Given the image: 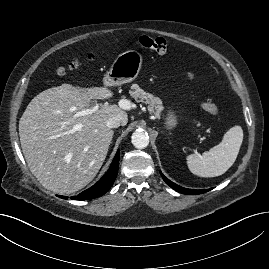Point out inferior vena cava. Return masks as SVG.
Returning a JSON list of instances; mask_svg holds the SVG:
<instances>
[{
    "label": "inferior vena cava",
    "instance_id": "obj_1",
    "mask_svg": "<svg viewBox=\"0 0 269 269\" xmlns=\"http://www.w3.org/2000/svg\"><path fill=\"white\" fill-rule=\"evenodd\" d=\"M108 128H117L121 125V120L118 117H112L110 118L106 123Z\"/></svg>",
    "mask_w": 269,
    "mask_h": 269
}]
</instances>
